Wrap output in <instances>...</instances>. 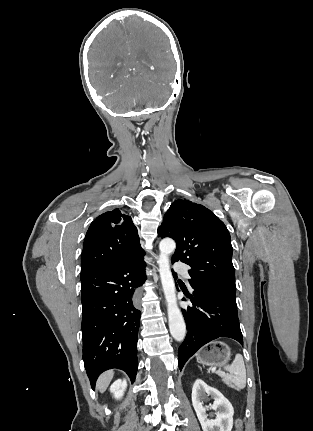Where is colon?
<instances>
[{"label": "colon", "mask_w": 313, "mask_h": 431, "mask_svg": "<svg viewBox=\"0 0 313 431\" xmlns=\"http://www.w3.org/2000/svg\"><path fill=\"white\" fill-rule=\"evenodd\" d=\"M237 431H240V428H241V424H240V422H237Z\"/></svg>", "instance_id": "obj_1"}]
</instances>
